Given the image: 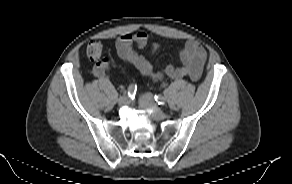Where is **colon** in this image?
Returning a JSON list of instances; mask_svg holds the SVG:
<instances>
[{"instance_id":"obj_1","label":"colon","mask_w":292,"mask_h":184,"mask_svg":"<svg viewBox=\"0 0 292 184\" xmlns=\"http://www.w3.org/2000/svg\"><path fill=\"white\" fill-rule=\"evenodd\" d=\"M102 51H103V46L101 42L92 41L87 46L86 53L89 59H91L92 61H95L100 58Z\"/></svg>"}]
</instances>
